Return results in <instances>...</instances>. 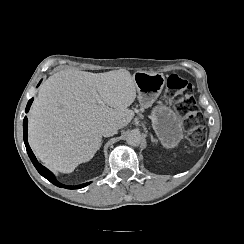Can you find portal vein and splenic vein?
I'll return each instance as SVG.
<instances>
[{
	"label": "portal vein and splenic vein",
	"mask_w": 244,
	"mask_h": 244,
	"mask_svg": "<svg viewBox=\"0 0 244 244\" xmlns=\"http://www.w3.org/2000/svg\"><path fill=\"white\" fill-rule=\"evenodd\" d=\"M94 95H95L96 102H97L98 104L104 106L105 104H104V101H103V99L101 98L100 94L97 93V92H95Z\"/></svg>",
	"instance_id": "18ae733b"
}]
</instances>
